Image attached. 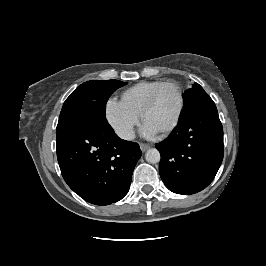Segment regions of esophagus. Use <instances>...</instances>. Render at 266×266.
<instances>
[{
	"instance_id": "1",
	"label": "esophagus",
	"mask_w": 266,
	"mask_h": 266,
	"mask_svg": "<svg viewBox=\"0 0 266 266\" xmlns=\"http://www.w3.org/2000/svg\"><path fill=\"white\" fill-rule=\"evenodd\" d=\"M149 148H150V145L149 144L140 143V149H141L142 152H145Z\"/></svg>"
}]
</instances>
